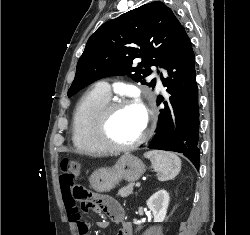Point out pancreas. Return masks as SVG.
Listing matches in <instances>:
<instances>
[{
	"instance_id": "pancreas-1",
	"label": "pancreas",
	"mask_w": 250,
	"mask_h": 235,
	"mask_svg": "<svg viewBox=\"0 0 250 235\" xmlns=\"http://www.w3.org/2000/svg\"><path fill=\"white\" fill-rule=\"evenodd\" d=\"M133 184L130 183L127 186L122 187L119 191H118V196H121L123 198L128 197L129 195L133 194Z\"/></svg>"
}]
</instances>
